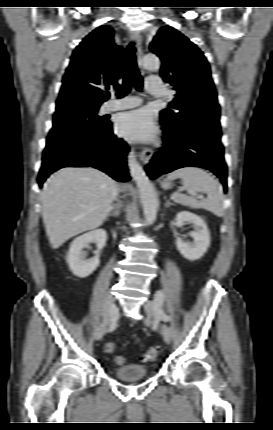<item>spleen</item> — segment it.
Listing matches in <instances>:
<instances>
[{"label": "spleen", "mask_w": 273, "mask_h": 430, "mask_svg": "<svg viewBox=\"0 0 273 430\" xmlns=\"http://www.w3.org/2000/svg\"><path fill=\"white\" fill-rule=\"evenodd\" d=\"M181 179L183 188L191 192H204L207 198L198 201L192 196H187L179 192L173 193L174 202L204 208L216 216L224 215L223 193L219 183L206 171L193 166L179 168L167 176L168 180Z\"/></svg>", "instance_id": "obj_1"}]
</instances>
